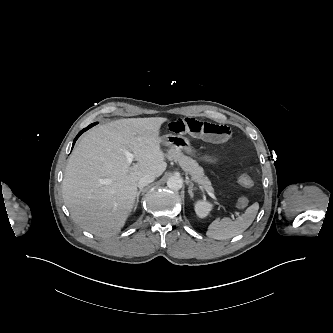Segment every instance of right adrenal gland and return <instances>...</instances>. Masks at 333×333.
I'll use <instances>...</instances> for the list:
<instances>
[{"instance_id":"1","label":"right adrenal gland","mask_w":333,"mask_h":333,"mask_svg":"<svg viewBox=\"0 0 333 333\" xmlns=\"http://www.w3.org/2000/svg\"><path fill=\"white\" fill-rule=\"evenodd\" d=\"M143 191V189H140L138 192H137V195H136V201H135V204H134V211L136 210L137 206H138V202H139V195L140 193Z\"/></svg>"}]
</instances>
